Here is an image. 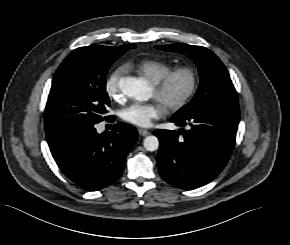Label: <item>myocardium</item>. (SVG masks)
<instances>
[{
    "mask_svg": "<svg viewBox=\"0 0 290 245\" xmlns=\"http://www.w3.org/2000/svg\"><path fill=\"white\" fill-rule=\"evenodd\" d=\"M179 75H186L188 78V85L184 93L174 99L167 101L164 106L169 111H177L184 107L194 96L199 85V74L198 72L188 66L176 67L168 71L160 80L153 83V89L155 96L159 97L164 95L169 89L172 81Z\"/></svg>",
    "mask_w": 290,
    "mask_h": 245,
    "instance_id": "obj_1",
    "label": "myocardium"
}]
</instances>
